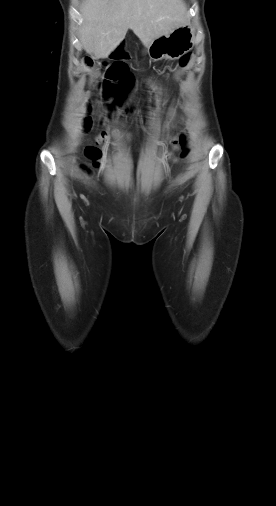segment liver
Instances as JSON below:
<instances>
[{"label": "liver", "instance_id": "obj_1", "mask_svg": "<svg viewBox=\"0 0 276 506\" xmlns=\"http://www.w3.org/2000/svg\"><path fill=\"white\" fill-rule=\"evenodd\" d=\"M80 11L82 47L96 58L108 57L128 29L147 46L188 23L183 0H83Z\"/></svg>", "mask_w": 276, "mask_h": 506}]
</instances>
